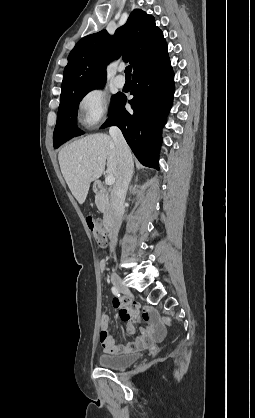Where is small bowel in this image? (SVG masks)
Instances as JSON below:
<instances>
[{
  "mask_svg": "<svg viewBox=\"0 0 255 418\" xmlns=\"http://www.w3.org/2000/svg\"><path fill=\"white\" fill-rule=\"evenodd\" d=\"M100 270L107 268V261L102 260L99 264ZM113 307L117 310L118 316L122 321H128L127 331L134 333L135 322L140 319L139 307L135 303L123 304L119 299L113 300ZM145 321H152L151 309H147L142 315ZM109 318L103 315L101 318V331L99 335L100 346L104 353L107 354H123L135 349L145 347L151 341H158L165 336L166 329L163 324H154L150 329L143 330L142 335L138 336L133 342L126 345H116L114 338L108 333Z\"/></svg>",
  "mask_w": 255,
  "mask_h": 418,
  "instance_id": "1",
  "label": "small bowel"
}]
</instances>
